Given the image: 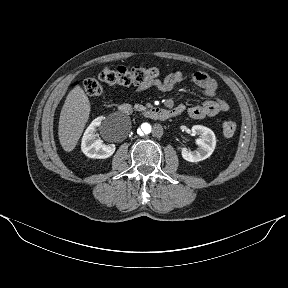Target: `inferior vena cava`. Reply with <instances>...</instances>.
Returning <instances> with one entry per match:
<instances>
[{
	"instance_id": "1",
	"label": "inferior vena cava",
	"mask_w": 288,
	"mask_h": 288,
	"mask_svg": "<svg viewBox=\"0 0 288 288\" xmlns=\"http://www.w3.org/2000/svg\"><path fill=\"white\" fill-rule=\"evenodd\" d=\"M152 135L155 138H160L163 135V128L160 125H155L152 128Z\"/></svg>"
}]
</instances>
